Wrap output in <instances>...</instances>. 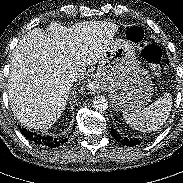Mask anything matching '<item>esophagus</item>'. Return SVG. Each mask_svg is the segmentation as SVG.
Here are the masks:
<instances>
[{
    "label": "esophagus",
    "instance_id": "obj_1",
    "mask_svg": "<svg viewBox=\"0 0 183 183\" xmlns=\"http://www.w3.org/2000/svg\"><path fill=\"white\" fill-rule=\"evenodd\" d=\"M92 83H94V82H92ZM93 89H95V86L92 85V90H93Z\"/></svg>",
    "mask_w": 183,
    "mask_h": 183
}]
</instances>
